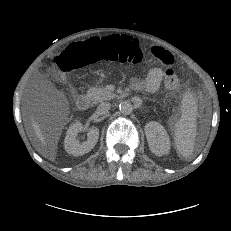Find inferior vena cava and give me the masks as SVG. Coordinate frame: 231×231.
Returning a JSON list of instances; mask_svg holds the SVG:
<instances>
[{
	"instance_id": "obj_1",
	"label": "inferior vena cava",
	"mask_w": 231,
	"mask_h": 231,
	"mask_svg": "<svg viewBox=\"0 0 231 231\" xmlns=\"http://www.w3.org/2000/svg\"><path fill=\"white\" fill-rule=\"evenodd\" d=\"M110 106H111V104L108 102H103V103L99 104L97 107V113L99 115L107 114L110 110Z\"/></svg>"
}]
</instances>
